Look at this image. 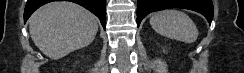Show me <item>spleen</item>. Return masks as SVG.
Wrapping results in <instances>:
<instances>
[{"mask_svg": "<svg viewBox=\"0 0 244 73\" xmlns=\"http://www.w3.org/2000/svg\"><path fill=\"white\" fill-rule=\"evenodd\" d=\"M150 25L160 35L184 43H193L198 38V29L192 19L175 9L154 13Z\"/></svg>", "mask_w": 244, "mask_h": 73, "instance_id": "3e777b00", "label": "spleen"}]
</instances>
